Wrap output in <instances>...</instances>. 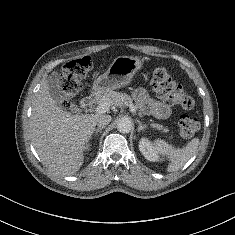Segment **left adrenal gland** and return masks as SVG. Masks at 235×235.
<instances>
[{
    "label": "left adrenal gland",
    "instance_id": "obj_1",
    "mask_svg": "<svg viewBox=\"0 0 235 235\" xmlns=\"http://www.w3.org/2000/svg\"><path fill=\"white\" fill-rule=\"evenodd\" d=\"M136 122L138 123L139 127H138V132H140L141 130L146 129V126L143 125L139 120H136Z\"/></svg>",
    "mask_w": 235,
    "mask_h": 235
}]
</instances>
